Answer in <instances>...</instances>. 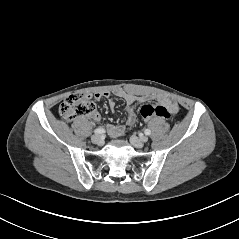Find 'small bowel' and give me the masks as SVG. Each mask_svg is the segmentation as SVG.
Returning <instances> with one entry per match:
<instances>
[{"label": "small bowel", "mask_w": 239, "mask_h": 239, "mask_svg": "<svg viewBox=\"0 0 239 239\" xmlns=\"http://www.w3.org/2000/svg\"><path fill=\"white\" fill-rule=\"evenodd\" d=\"M115 95L124 100L126 105L127 112V125L133 126L136 123V114H135V106L137 103H141L147 100L145 96H136L134 94L125 92L123 90H118L115 92ZM96 100H100L102 98L108 99V107L111 110L115 109V102L111 99V94L109 92H97L93 95ZM158 100L166 107L170 113V115H174L178 112V104L174 99L168 96H160ZM93 120L95 122H100L101 116L99 113H95L93 115ZM108 134L117 138L122 136L125 133L126 126L125 125H109L107 127Z\"/></svg>", "instance_id": "small-bowel-1"}]
</instances>
